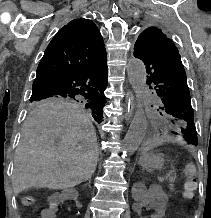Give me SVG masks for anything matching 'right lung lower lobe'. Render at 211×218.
<instances>
[{
	"instance_id": "right-lung-lower-lobe-1",
	"label": "right lung lower lobe",
	"mask_w": 211,
	"mask_h": 218,
	"mask_svg": "<svg viewBox=\"0 0 211 218\" xmlns=\"http://www.w3.org/2000/svg\"><path fill=\"white\" fill-rule=\"evenodd\" d=\"M107 58L80 71L58 77L33 89L30 99L37 97H103L107 81Z\"/></svg>"
}]
</instances>
